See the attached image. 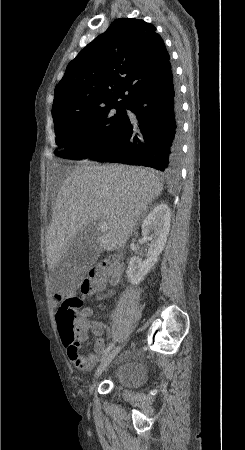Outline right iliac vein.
Instances as JSON below:
<instances>
[{
  "label": "right iliac vein",
  "mask_w": 245,
  "mask_h": 450,
  "mask_svg": "<svg viewBox=\"0 0 245 450\" xmlns=\"http://www.w3.org/2000/svg\"><path fill=\"white\" fill-rule=\"evenodd\" d=\"M122 348V345L118 346L117 348H115L110 354H108L107 356H105L99 367L97 368L95 375H94V379L92 382V385L89 388L90 392H93L94 387H95V383L97 382V379L99 378V376L107 369V367L109 366V364L111 363V361L115 358V356L120 352Z\"/></svg>",
  "instance_id": "obj_1"
}]
</instances>
